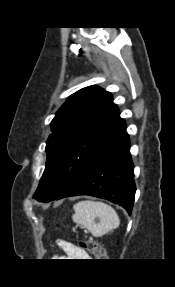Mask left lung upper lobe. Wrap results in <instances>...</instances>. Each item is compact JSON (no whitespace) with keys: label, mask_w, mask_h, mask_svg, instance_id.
Instances as JSON below:
<instances>
[{"label":"left lung upper lobe","mask_w":175,"mask_h":287,"mask_svg":"<svg viewBox=\"0 0 175 287\" xmlns=\"http://www.w3.org/2000/svg\"><path fill=\"white\" fill-rule=\"evenodd\" d=\"M125 128L109 92L89 86L71 95L51 122L46 167L33 197L53 200Z\"/></svg>","instance_id":"obj_1"}]
</instances>
